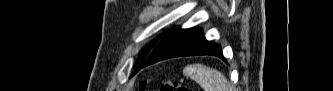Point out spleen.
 Instances as JSON below:
<instances>
[{
  "mask_svg": "<svg viewBox=\"0 0 333 91\" xmlns=\"http://www.w3.org/2000/svg\"><path fill=\"white\" fill-rule=\"evenodd\" d=\"M183 74L197 82L204 91H231L229 81L221 72L203 64L188 65Z\"/></svg>",
  "mask_w": 333,
  "mask_h": 91,
  "instance_id": "1",
  "label": "spleen"
}]
</instances>
